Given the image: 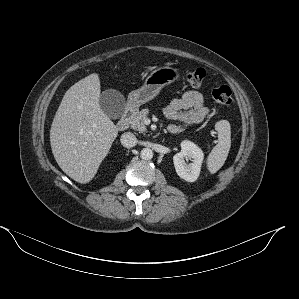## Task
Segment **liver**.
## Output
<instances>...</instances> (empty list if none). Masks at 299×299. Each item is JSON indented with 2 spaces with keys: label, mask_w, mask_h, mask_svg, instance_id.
Instances as JSON below:
<instances>
[{
  "label": "liver",
  "mask_w": 299,
  "mask_h": 299,
  "mask_svg": "<svg viewBox=\"0 0 299 299\" xmlns=\"http://www.w3.org/2000/svg\"><path fill=\"white\" fill-rule=\"evenodd\" d=\"M100 79L92 73L65 93L53 119L50 144L59 167L73 180L90 182L118 129L99 105Z\"/></svg>",
  "instance_id": "obj_1"
}]
</instances>
